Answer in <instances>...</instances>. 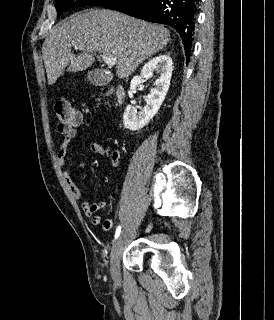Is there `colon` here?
I'll use <instances>...</instances> for the list:
<instances>
[{"instance_id":"5ec220e1","label":"colon","mask_w":274,"mask_h":320,"mask_svg":"<svg viewBox=\"0 0 274 320\" xmlns=\"http://www.w3.org/2000/svg\"><path fill=\"white\" fill-rule=\"evenodd\" d=\"M57 128L61 133H71L74 120H83L81 112L70 105L64 98H59L54 103Z\"/></svg>"}]
</instances>
